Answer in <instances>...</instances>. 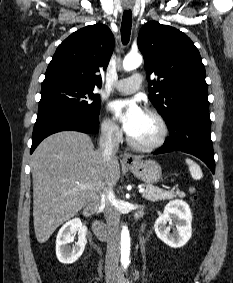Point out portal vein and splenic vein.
I'll use <instances>...</instances> for the list:
<instances>
[{"mask_svg": "<svg viewBox=\"0 0 233 283\" xmlns=\"http://www.w3.org/2000/svg\"><path fill=\"white\" fill-rule=\"evenodd\" d=\"M78 187L81 188V189H90L91 185L90 184H78ZM143 192H145V189L140 187L139 193H143Z\"/></svg>", "mask_w": 233, "mask_h": 283, "instance_id": "portal-vein-and-splenic-vein-1", "label": "portal vein and splenic vein"}]
</instances>
